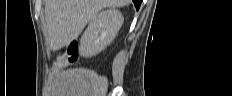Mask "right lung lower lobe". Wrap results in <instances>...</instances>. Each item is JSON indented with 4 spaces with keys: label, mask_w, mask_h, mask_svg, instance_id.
Here are the masks:
<instances>
[{
    "label": "right lung lower lobe",
    "mask_w": 232,
    "mask_h": 96,
    "mask_svg": "<svg viewBox=\"0 0 232 96\" xmlns=\"http://www.w3.org/2000/svg\"><path fill=\"white\" fill-rule=\"evenodd\" d=\"M132 1L134 2L136 9L138 10L141 5L142 0H132Z\"/></svg>",
    "instance_id": "right-lung-lower-lobe-1"
}]
</instances>
